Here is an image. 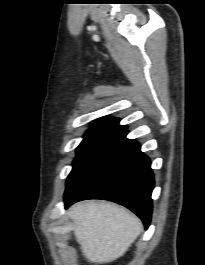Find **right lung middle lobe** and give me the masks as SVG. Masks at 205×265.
<instances>
[{
  "label": "right lung middle lobe",
  "mask_w": 205,
  "mask_h": 265,
  "mask_svg": "<svg viewBox=\"0 0 205 265\" xmlns=\"http://www.w3.org/2000/svg\"><path fill=\"white\" fill-rule=\"evenodd\" d=\"M126 131L124 126L94 127L84 135L77 147V156L73 162L66 191L70 190L95 161Z\"/></svg>",
  "instance_id": "obj_1"
}]
</instances>
